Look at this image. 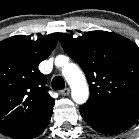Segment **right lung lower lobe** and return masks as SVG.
<instances>
[{
	"instance_id": "right-lung-lower-lobe-1",
	"label": "right lung lower lobe",
	"mask_w": 139,
	"mask_h": 139,
	"mask_svg": "<svg viewBox=\"0 0 139 139\" xmlns=\"http://www.w3.org/2000/svg\"><path fill=\"white\" fill-rule=\"evenodd\" d=\"M52 110L53 108L48 110L34 122L10 133L7 136L13 139H32L34 137H37L47 127L52 115Z\"/></svg>"
}]
</instances>
